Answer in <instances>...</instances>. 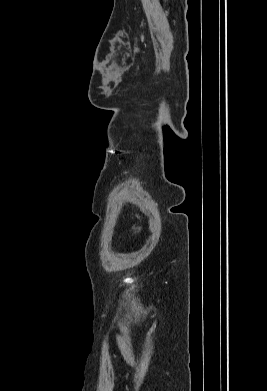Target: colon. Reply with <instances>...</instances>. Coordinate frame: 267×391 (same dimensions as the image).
<instances>
[{"instance_id":"colon-1","label":"colon","mask_w":267,"mask_h":391,"mask_svg":"<svg viewBox=\"0 0 267 391\" xmlns=\"http://www.w3.org/2000/svg\"><path fill=\"white\" fill-rule=\"evenodd\" d=\"M140 230V226H133L132 228H131V232L132 233H136V232H138Z\"/></svg>"}]
</instances>
